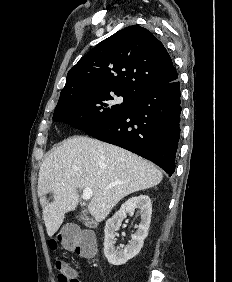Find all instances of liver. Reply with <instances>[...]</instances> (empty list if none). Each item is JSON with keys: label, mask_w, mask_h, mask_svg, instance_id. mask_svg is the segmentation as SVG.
<instances>
[{"label": "liver", "mask_w": 232, "mask_h": 282, "mask_svg": "<svg viewBox=\"0 0 232 282\" xmlns=\"http://www.w3.org/2000/svg\"><path fill=\"white\" fill-rule=\"evenodd\" d=\"M162 172L153 164L123 148L86 136L64 140L43 161L38 196L47 234L52 237L65 213L79 202L78 189L91 188L88 205L96 221L104 220L125 196L158 185ZM52 194L49 202L46 195Z\"/></svg>", "instance_id": "obj_1"}]
</instances>
